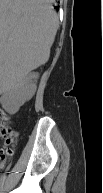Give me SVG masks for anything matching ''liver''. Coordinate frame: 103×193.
I'll return each instance as SVG.
<instances>
[{"instance_id":"6515ba94","label":"liver","mask_w":103,"mask_h":193,"mask_svg":"<svg viewBox=\"0 0 103 193\" xmlns=\"http://www.w3.org/2000/svg\"><path fill=\"white\" fill-rule=\"evenodd\" d=\"M52 0H1V71L11 78L47 62L56 34Z\"/></svg>"}]
</instances>
